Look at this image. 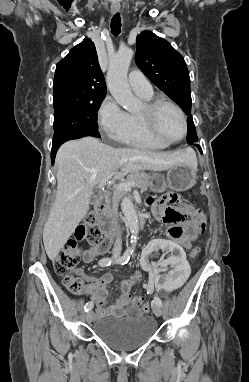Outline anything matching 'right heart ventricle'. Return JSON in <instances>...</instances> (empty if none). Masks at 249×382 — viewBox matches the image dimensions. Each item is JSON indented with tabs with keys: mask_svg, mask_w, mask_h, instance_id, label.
Instances as JSON below:
<instances>
[{
	"mask_svg": "<svg viewBox=\"0 0 249 382\" xmlns=\"http://www.w3.org/2000/svg\"><path fill=\"white\" fill-rule=\"evenodd\" d=\"M140 95L146 101L152 99V95ZM130 127L128 133L119 140V142L124 143L129 146L149 149V150H160L166 148L169 144L163 143L156 140L150 133L146 130L139 114H129Z\"/></svg>",
	"mask_w": 249,
	"mask_h": 382,
	"instance_id": "obj_1",
	"label": "right heart ventricle"
}]
</instances>
